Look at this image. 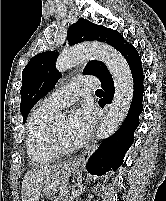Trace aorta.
<instances>
[{"mask_svg":"<svg viewBox=\"0 0 166 201\" xmlns=\"http://www.w3.org/2000/svg\"><path fill=\"white\" fill-rule=\"evenodd\" d=\"M101 60L112 75L115 87L113 101L97 132L98 139L111 136L125 119L133 98V78L125 58L113 47L100 44H83L63 50L56 68L65 72L88 59Z\"/></svg>","mask_w":166,"mask_h":201,"instance_id":"aorta-1","label":"aorta"}]
</instances>
